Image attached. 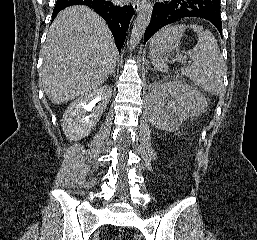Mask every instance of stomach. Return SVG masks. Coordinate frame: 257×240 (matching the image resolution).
I'll return each mask as SVG.
<instances>
[{"instance_id": "0dacf381", "label": "stomach", "mask_w": 257, "mask_h": 240, "mask_svg": "<svg viewBox=\"0 0 257 240\" xmlns=\"http://www.w3.org/2000/svg\"><path fill=\"white\" fill-rule=\"evenodd\" d=\"M153 48V46L150 44V49Z\"/></svg>"}]
</instances>
